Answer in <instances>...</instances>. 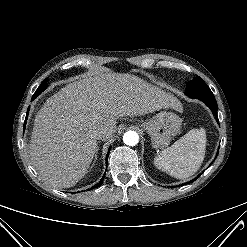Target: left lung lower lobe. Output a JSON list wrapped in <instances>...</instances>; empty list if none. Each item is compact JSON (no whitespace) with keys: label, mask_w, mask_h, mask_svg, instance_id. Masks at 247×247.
Listing matches in <instances>:
<instances>
[{"label":"left lung lower lobe","mask_w":247,"mask_h":247,"mask_svg":"<svg viewBox=\"0 0 247 247\" xmlns=\"http://www.w3.org/2000/svg\"><path fill=\"white\" fill-rule=\"evenodd\" d=\"M199 99L202 100L211 109L212 113L215 116V119L219 121L217 117V102H216L215 97H204V98H199Z\"/></svg>","instance_id":"0a47b994"}]
</instances>
